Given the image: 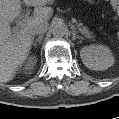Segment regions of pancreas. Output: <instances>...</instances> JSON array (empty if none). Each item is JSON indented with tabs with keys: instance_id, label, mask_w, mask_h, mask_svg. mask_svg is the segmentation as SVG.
<instances>
[{
	"instance_id": "cf45deb5",
	"label": "pancreas",
	"mask_w": 119,
	"mask_h": 119,
	"mask_svg": "<svg viewBox=\"0 0 119 119\" xmlns=\"http://www.w3.org/2000/svg\"><path fill=\"white\" fill-rule=\"evenodd\" d=\"M78 31L87 38L92 37V33L87 29L86 26H83L82 23L78 24Z\"/></svg>"
}]
</instances>
